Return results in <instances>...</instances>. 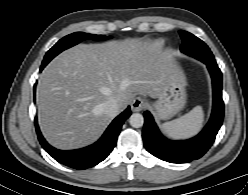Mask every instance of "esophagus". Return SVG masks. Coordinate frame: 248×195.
<instances>
[{
    "mask_svg": "<svg viewBox=\"0 0 248 195\" xmlns=\"http://www.w3.org/2000/svg\"><path fill=\"white\" fill-rule=\"evenodd\" d=\"M147 103L145 100H143L140 97H136L132 100L131 103V109L134 112H140L141 110H143L146 107Z\"/></svg>",
    "mask_w": 248,
    "mask_h": 195,
    "instance_id": "1",
    "label": "esophagus"
}]
</instances>
